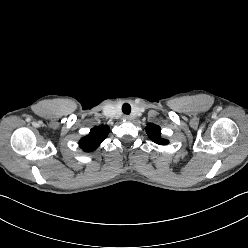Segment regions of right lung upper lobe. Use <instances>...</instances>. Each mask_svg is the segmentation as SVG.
Wrapping results in <instances>:
<instances>
[{"instance_id":"1","label":"right lung upper lobe","mask_w":248,"mask_h":248,"mask_svg":"<svg viewBox=\"0 0 248 248\" xmlns=\"http://www.w3.org/2000/svg\"><path fill=\"white\" fill-rule=\"evenodd\" d=\"M109 131L108 126H96L92 128L90 133L80 140V148L85 152L94 151L108 136Z\"/></svg>"}]
</instances>
